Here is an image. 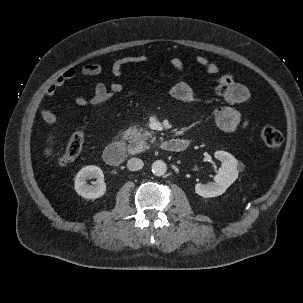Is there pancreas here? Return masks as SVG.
<instances>
[{"label":"pancreas","instance_id":"obj_1","mask_svg":"<svg viewBox=\"0 0 303 303\" xmlns=\"http://www.w3.org/2000/svg\"><path fill=\"white\" fill-rule=\"evenodd\" d=\"M125 140L129 141L128 152L132 155L140 153L149 148L147 141L154 143L156 138L152 131H145L142 127L132 126L128 128L123 135Z\"/></svg>","mask_w":303,"mask_h":303}]
</instances>
